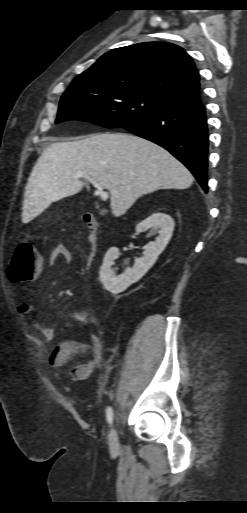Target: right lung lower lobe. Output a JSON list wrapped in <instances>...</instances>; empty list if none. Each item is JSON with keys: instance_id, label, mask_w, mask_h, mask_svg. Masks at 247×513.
<instances>
[{"instance_id": "right-lung-lower-lobe-1", "label": "right lung lower lobe", "mask_w": 247, "mask_h": 513, "mask_svg": "<svg viewBox=\"0 0 247 513\" xmlns=\"http://www.w3.org/2000/svg\"><path fill=\"white\" fill-rule=\"evenodd\" d=\"M201 100L166 109L123 127L180 160L207 192L208 131Z\"/></svg>"}]
</instances>
